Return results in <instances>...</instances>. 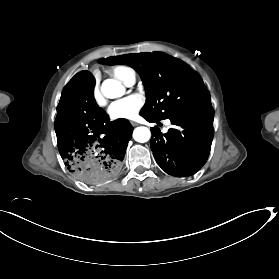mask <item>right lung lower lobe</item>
<instances>
[{
	"label": "right lung lower lobe",
	"mask_w": 279,
	"mask_h": 279,
	"mask_svg": "<svg viewBox=\"0 0 279 279\" xmlns=\"http://www.w3.org/2000/svg\"><path fill=\"white\" fill-rule=\"evenodd\" d=\"M55 131L67 169L80 181L98 185L120 173L133 127L125 119L109 120L94 99L92 74L81 71L63 89Z\"/></svg>",
	"instance_id": "98d812e1"
}]
</instances>
